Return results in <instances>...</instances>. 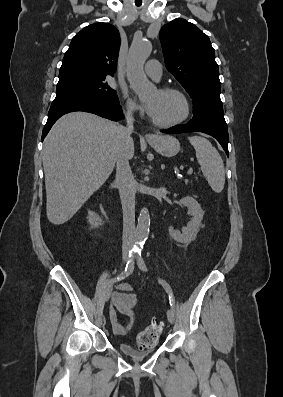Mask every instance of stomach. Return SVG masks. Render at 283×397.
Masks as SVG:
<instances>
[{"label": "stomach", "instance_id": "obj_1", "mask_svg": "<svg viewBox=\"0 0 283 397\" xmlns=\"http://www.w3.org/2000/svg\"><path fill=\"white\" fill-rule=\"evenodd\" d=\"M148 143L165 157H173L180 151V143L174 136L155 135L148 140Z\"/></svg>", "mask_w": 283, "mask_h": 397}]
</instances>
